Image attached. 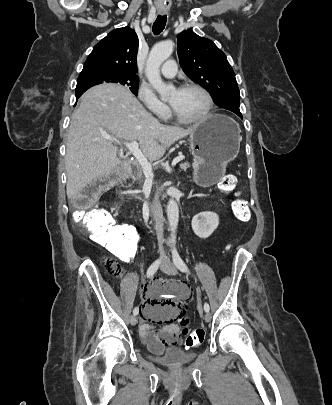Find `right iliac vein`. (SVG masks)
<instances>
[{"label": "right iliac vein", "mask_w": 332, "mask_h": 405, "mask_svg": "<svg viewBox=\"0 0 332 405\" xmlns=\"http://www.w3.org/2000/svg\"><path fill=\"white\" fill-rule=\"evenodd\" d=\"M130 323H131V325H133V326L137 324V318H136L135 315H132V316H131V318H130Z\"/></svg>", "instance_id": "right-iliac-vein-1"}]
</instances>
